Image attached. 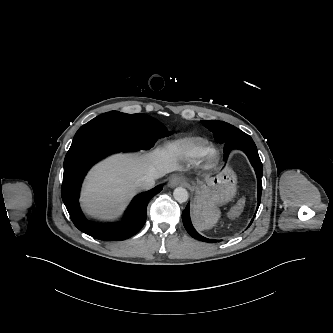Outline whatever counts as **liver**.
<instances>
[{
  "mask_svg": "<svg viewBox=\"0 0 333 333\" xmlns=\"http://www.w3.org/2000/svg\"><path fill=\"white\" fill-rule=\"evenodd\" d=\"M181 168L175 153L163 147L142 155H113L89 173L82 192V206L92 217L114 219L139 190L137 179L145 175L157 179Z\"/></svg>",
  "mask_w": 333,
  "mask_h": 333,
  "instance_id": "liver-1",
  "label": "liver"
}]
</instances>
